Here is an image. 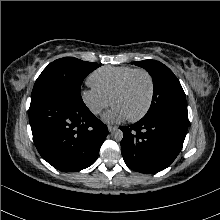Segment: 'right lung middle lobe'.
Segmentation results:
<instances>
[{
  "label": "right lung middle lobe",
  "mask_w": 220,
  "mask_h": 220,
  "mask_svg": "<svg viewBox=\"0 0 220 220\" xmlns=\"http://www.w3.org/2000/svg\"><path fill=\"white\" fill-rule=\"evenodd\" d=\"M100 65L73 57L60 58L50 63L37 78L32 96L56 94L83 103L80 87L85 77Z\"/></svg>",
  "instance_id": "right-lung-middle-lobe-1"
}]
</instances>
